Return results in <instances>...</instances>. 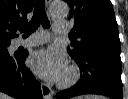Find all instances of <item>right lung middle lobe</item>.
Here are the masks:
<instances>
[{
    "mask_svg": "<svg viewBox=\"0 0 128 99\" xmlns=\"http://www.w3.org/2000/svg\"><path fill=\"white\" fill-rule=\"evenodd\" d=\"M10 45V42H0V54L8 55L7 47Z\"/></svg>",
    "mask_w": 128,
    "mask_h": 99,
    "instance_id": "right-lung-middle-lobe-1",
    "label": "right lung middle lobe"
}]
</instances>
